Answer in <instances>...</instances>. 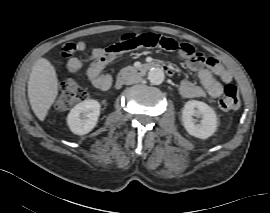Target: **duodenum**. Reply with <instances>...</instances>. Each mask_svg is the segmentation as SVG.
Returning a JSON list of instances; mask_svg holds the SVG:
<instances>
[{"mask_svg": "<svg viewBox=\"0 0 270 213\" xmlns=\"http://www.w3.org/2000/svg\"><path fill=\"white\" fill-rule=\"evenodd\" d=\"M152 68L161 69L162 71L166 72L168 75H172L173 74V72L168 68L167 64H165L164 62H160V61H157V62H154V63H149V64H144V65L140 66L135 71V73L138 74V75H140V74H143V73L149 71ZM129 74H131V72L128 71V70H125V71L121 72V74L119 76V79H118V81L116 83V86L117 87L121 86L124 77H126Z\"/></svg>", "mask_w": 270, "mask_h": 213, "instance_id": "1", "label": "duodenum"}]
</instances>
